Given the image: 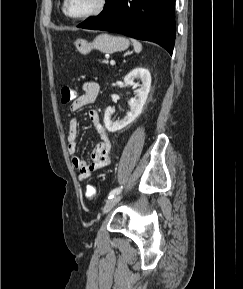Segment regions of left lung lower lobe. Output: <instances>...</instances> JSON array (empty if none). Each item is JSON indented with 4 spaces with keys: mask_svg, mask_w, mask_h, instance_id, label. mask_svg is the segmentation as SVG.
<instances>
[{
    "mask_svg": "<svg viewBox=\"0 0 243 289\" xmlns=\"http://www.w3.org/2000/svg\"><path fill=\"white\" fill-rule=\"evenodd\" d=\"M78 27L151 41L170 54L175 42V0H106L103 11Z\"/></svg>",
    "mask_w": 243,
    "mask_h": 289,
    "instance_id": "0a47b994",
    "label": "left lung lower lobe"
}]
</instances>
